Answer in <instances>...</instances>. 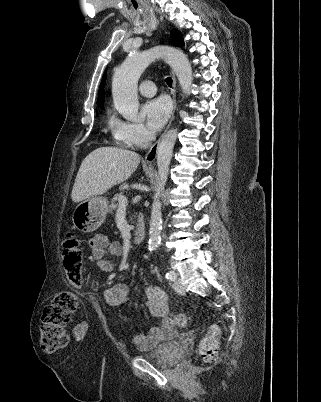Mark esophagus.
<instances>
[{
    "instance_id": "1",
    "label": "esophagus",
    "mask_w": 321,
    "mask_h": 402,
    "mask_svg": "<svg viewBox=\"0 0 321 402\" xmlns=\"http://www.w3.org/2000/svg\"><path fill=\"white\" fill-rule=\"evenodd\" d=\"M170 73H171V76H172V79H173V87H172V90H171V95H172V99H173L172 115H171L170 121H169L164 133L162 134V136L157 140V142L146 153V155L144 157V162L147 163V164H151L155 160L160 141H161L163 135L165 134V132L167 131V129L170 127V125H171V123H172V121L174 119V115H175V111H176V107H177V103H176V83H177V81H176V77H175L174 72L171 70Z\"/></svg>"
}]
</instances>
